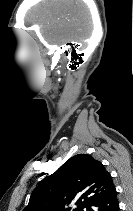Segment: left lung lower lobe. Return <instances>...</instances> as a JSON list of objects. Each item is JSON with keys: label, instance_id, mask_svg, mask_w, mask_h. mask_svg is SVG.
Returning a JSON list of instances; mask_svg holds the SVG:
<instances>
[{"label": "left lung lower lobe", "instance_id": "1", "mask_svg": "<svg viewBox=\"0 0 133 211\" xmlns=\"http://www.w3.org/2000/svg\"><path fill=\"white\" fill-rule=\"evenodd\" d=\"M91 211H119L116 188L113 187L100 201H98Z\"/></svg>", "mask_w": 133, "mask_h": 211}]
</instances>
